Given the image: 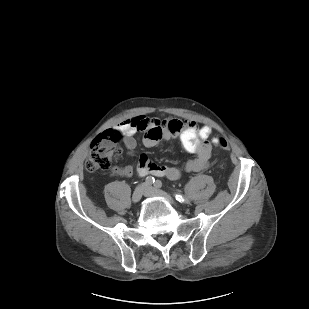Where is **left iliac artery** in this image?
Returning a JSON list of instances; mask_svg holds the SVG:
<instances>
[{"instance_id": "1", "label": "left iliac artery", "mask_w": 309, "mask_h": 309, "mask_svg": "<svg viewBox=\"0 0 309 309\" xmlns=\"http://www.w3.org/2000/svg\"><path fill=\"white\" fill-rule=\"evenodd\" d=\"M154 186L156 188H161L163 187V183L160 180H156L154 183ZM173 196L175 197V199L177 201H179L180 203H189L190 200L183 194L179 193V192H172Z\"/></svg>"}]
</instances>
